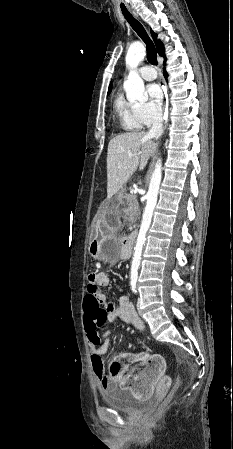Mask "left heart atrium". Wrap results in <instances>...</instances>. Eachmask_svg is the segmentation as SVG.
I'll return each instance as SVG.
<instances>
[{
  "mask_svg": "<svg viewBox=\"0 0 233 449\" xmlns=\"http://www.w3.org/2000/svg\"><path fill=\"white\" fill-rule=\"evenodd\" d=\"M147 93L152 100L157 105H160L163 99V91L158 84H150L147 87Z\"/></svg>",
  "mask_w": 233,
  "mask_h": 449,
  "instance_id": "1",
  "label": "left heart atrium"
}]
</instances>
